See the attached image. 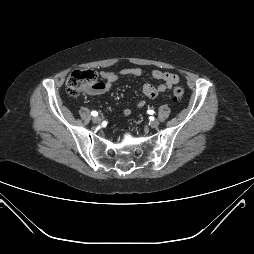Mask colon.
Segmentation results:
<instances>
[{
    "label": "colon",
    "mask_w": 254,
    "mask_h": 254,
    "mask_svg": "<svg viewBox=\"0 0 254 254\" xmlns=\"http://www.w3.org/2000/svg\"><path fill=\"white\" fill-rule=\"evenodd\" d=\"M99 84L98 76L94 71L76 70L68 76L66 86L71 96H79L90 89L98 87ZM183 96L184 91L181 87H175L173 89V98L175 101L181 100Z\"/></svg>",
    "instance_id": "5ec220e1"
}]
</instances>
